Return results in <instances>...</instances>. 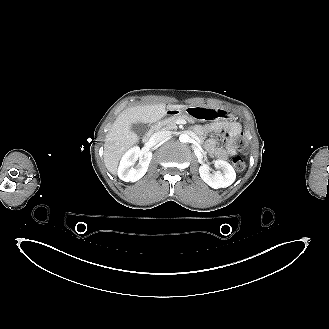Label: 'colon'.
<instances>
[{"label": "colon", "mask_w": 329, "mask_h": 329, "mask_svg": "<svg viewBox=\"0 0 329 329\" xmlns=\"http://www.w3.org/2000/svg\"><path fill=\"white\" fill-rule=\"evenodd\" d=\"M235 146L240 151H244L247 148V140H246V138H245L244 135H238L235 138ZM233 165H234V168L237 171H242L245 168L244 161L240 157H238V156H236V157L233 158Z\"/></svg>", "instance_id": "colon-1"}]
</instances>
